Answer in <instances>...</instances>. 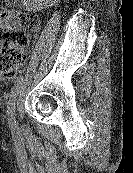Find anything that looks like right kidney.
<instances>
[{"mask_svg": "<svg viewBox=\"0 0 133 173\" xmlns=\"http://www.w3.org/2000/svg\"><path fill=\"white\" fill-rule=\"evenodd\" d=\"M59 0H24V5L29 11H34L41 6H47L49 2H55Z\"/></svg>", "mask_w": 133, "mask_h": 173, "instance_id": "ca27d5eb", "label": "right kidney"}]
</instances>
